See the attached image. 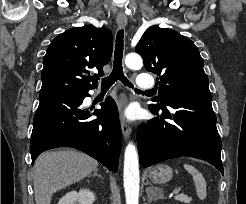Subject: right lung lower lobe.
Masks as SVG:
<instances>
[{
  "instance_id": "obj_1",
  "label": "right lung lower lobe",
  "mask_w": 246,
  "mask_h": 204,
  "mask_svg": "<svg viewBox=\"0 0 246 204\" xmlns=\"http://www.w3.org/2000/svg\"><path fill=\"white\" fill-rule=\"evenodd\" d=\"M89 90H68L40 96L33 120L30 152L32 164L45 150L73 147L92 156L117 172L122 136L113 99L101 103L93 114L82 106Z\"/></svg>"
}]
</instances>
